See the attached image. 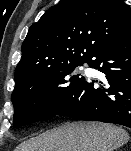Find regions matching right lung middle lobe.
<instances>
[{"instance_id": "1", "label": "right lung middle lobe", "mask_w": 131, "mask_h": 151, "mask_svg": "<svg viewBox=\"0 0 131 151\" xmlns=\"http://www.w3.org/2000/svg\"><path fill=\"white\" fill-rule=\"evenodd\" d=\"M78 65L81 63L45 73L15 88L11 95L13 125L19 127L57 115L85 80L80 74L71 75Z\"/></svg>"}]
</instances>
